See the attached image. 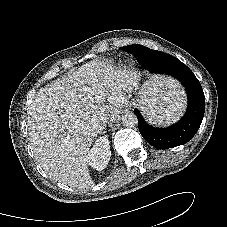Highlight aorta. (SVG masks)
Returning a JSON list of instances; mask_svg holds the SVG:
<instances>
[{
	"instance_id": "obj_1",
	"label": "aorta",
	"mask_w": 227,
	"mask_h": 227,
	"mask_svg": "<svg viewBox=\"0 0 227 227\" xmlns=\"http://www.w3.org/2000/svg\"><path fill=\"white\" fill-rule=\"evenodd\" d=\"M119 118L122 124L126 127H134L138 123L137 116L130 111L123 113Z\"/></svg>"
}]
</instances>
